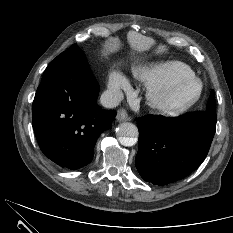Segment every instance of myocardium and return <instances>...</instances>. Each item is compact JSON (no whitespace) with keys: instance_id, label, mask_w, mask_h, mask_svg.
<instances>
[{"instance_id":"obj_1","label":"myocardium","mask_w":233,"mask_h":233,"mask_svg":"<svg viewBox=\"0 0 233 233\" xmlns=\"http://www.w3.org/2000/svg\"><path fill=\"white\" fill-rule=\"evenodd\" d=\"M187 83H194L197 85V91L194 96L184 101H172L168 98V96L174 93L180 86ZM202 94V82L192 75L178 78L166 84L149 87L146 93V101L149 107L155 112L164 116L175 117L186 113L195 106Z\"/></svg>"}]
</instances>
